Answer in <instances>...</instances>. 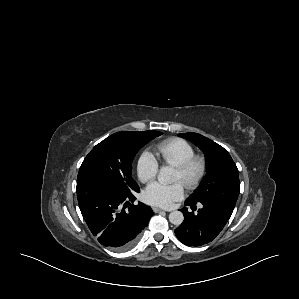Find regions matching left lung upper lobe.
<instances>
[{
  "label": "left lung upper lobe",
  "instance_id": "left-lung-upper-lobe-1",
  "mask_svg": "<svg viewBox=\"0 0 299 299\" xmlns=\"http://www.w3.org/2000/svg\"><path fill=\"white\" fill-rule=\"evenodd\" d=\"M205 154L207 174L198 189L187 199L192 203L218 202L234 209L240 190L236 164L219 144L197 133H181Z\"/></svg>",
  "mask_w": 299,
  "mask_h": 299
}]
</instances>
